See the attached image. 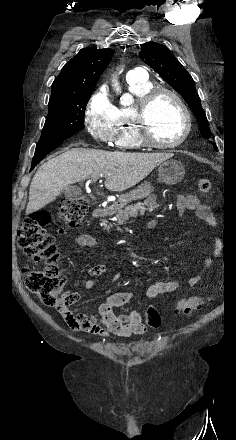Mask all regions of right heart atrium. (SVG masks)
<instances>
[{
  "label": "right heart atrium",
  "mask_w": 236,
  "mask_h": 440,
  "mask_svg": "<svg viewBox=\"0 0 236 440\" xmlns=\"http://www.w3.org/2000/svg\"><path fill=\"white\" fill-rule=\"evenodd\" d=\"M84 124L96 141L114 143L115 106L105 86L99 87L90 96L84 111Z\"/></svg>",
  "instance_id": "obj_1"
}]
</instances>
